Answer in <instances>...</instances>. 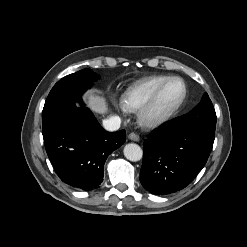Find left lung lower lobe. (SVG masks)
<instances>
[{"label": "left lung lower lobe", "mask_w": 247, "mask_h": 247, "mask_svg": "<svg viewBox=\"0 0 247 247\" xmlns=\"http://www.w3.org/2000/svg\"><path fill=\"white\" fill-rule=\"evenodd\" d=\"M179 120L162 125L143 144L140 181L153 194H170L186 187L212 150L215 132L184 128Z\"/></svg>", "instance_id": "1"}]
</instances>
